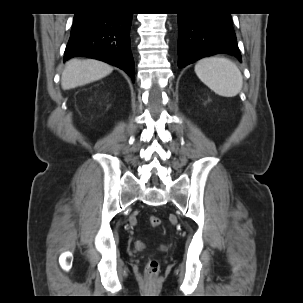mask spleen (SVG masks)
I'll list each match as a JSON object with an SVG mask.
<instances>
[{
	"mask_svg": "<svg viewBox=\"0 0 303 303\" xmlns=\"http://www.w3.org/2000/svg\"><path fill=\"white\" fill-rule=\"evenodd\" d=\"M198 78L214 93L235 97L242 89L243 78L237 65L224 57H208L195 65Z\"/></svg>",
	"mask_w": 303,
	"mask_h": 303,
	"instance_id": "obj_1",
	"label": "spleen"
}]
</instances>
